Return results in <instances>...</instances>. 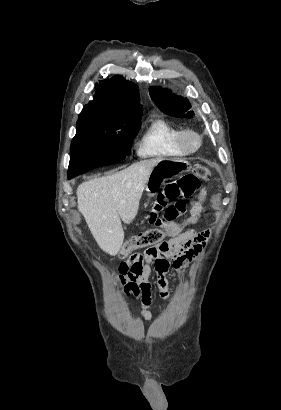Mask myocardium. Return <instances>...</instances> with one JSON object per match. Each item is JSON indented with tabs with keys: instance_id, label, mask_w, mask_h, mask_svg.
Returning a JSON list of instances; mask_svg holds the SVG:
<instances>
[{
	"instance_id": "f54148a6",
	"label": "myocardium",
	"mask_w": 281,
	"mask_h": 410,
	"mask_svg": "<svg viewBox=\"0 0 281 410\" xmlns=\"http://www.w3.org/2000/svg\"><path fill=\"white\" fill-rule=\"evenodd\" d=\"M191 140H194V143ZM179 143L187 154L196 153L202 148L203 136L194 129H183L179 134Z\"/></svg>"
}]
</instances>
